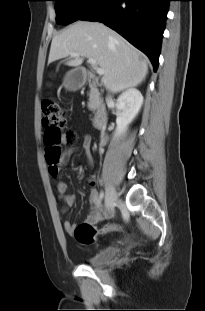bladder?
<instances>
[{
  "instance_id": "obj_1",
  "label": "bladder",
  "mask_w": 205,
  "mask_h": 311,
  "mask_svg": "<svg viewBox=\"0 0 205 311\" xmlns=\"http://www.w3.org/2000/svg\"><path fill=\"white\" fill-rule=\"evenodd\" d=\"M119 247L112 245L89 252L85 255L84 261L90 266H102L114 261L119 253Z\"/></svg>"
}]
</instances>
